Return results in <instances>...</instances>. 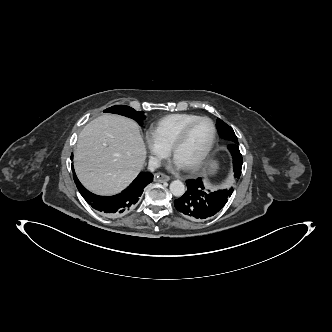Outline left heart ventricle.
Listing matches in <instances>:
<instances>
[{"label": "left heart ventricle", "instance_id": "left-heart-ventricle-1", "mask_svg": "<svg viewBox=\"0 0 332 332\" xmlns=\"http://www.w3.org/2000/svg\"><path fill=\"white\" fill-rule=\"evenodd\" d=\"M212 137V127L208 121L196 123L189 131L186 139L176 150L174 158L183 167L193 164L206 150Z\"/></svg>", "mask_w": 332, "mask_h": 332}]
</instances>
